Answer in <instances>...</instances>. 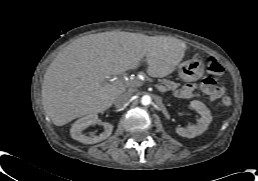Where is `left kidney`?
Here are the masks:
<instances>
[{
  "instance_id": "5707ae66",
  "label": "left kidney",
  "mask_w": 258,
  "mask_h": 181,
  "mask_svg": "<svg viewBox=\"0 0 258 181\" xmlns=\"http://www.w3.org/2000/svg\"><path fill=\"white\" fill-rule=\"evenodd\" d=\"M190 105L200 113L201 118L197 120L195 125H189L187 128L177 127L176 133L182 137L194 138L207 130L212 121V116L210 110L201 101L193 100Z\"/></svg>"
}]
</instances>
